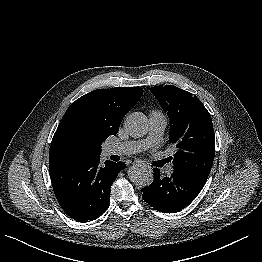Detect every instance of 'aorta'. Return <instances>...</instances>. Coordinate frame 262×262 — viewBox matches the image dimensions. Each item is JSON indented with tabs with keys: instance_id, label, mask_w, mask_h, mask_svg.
I'll return each mask as SVG.
<instances>
[{
	"instance_id": "aorta-1",
	"label": "aorta",
	"mask_w": 262,
	"mask_h": 262,
	"mask_svg": "<svg viewBox=\"0 0 262 262\" xmlns=\"http://www.w3.org/2000/svg\"><path fill=\"white\" fill-rule=\"evenodd\" d=\"M123 125L126 133L135 138L144 136L148 130L147 117L141 112L129 114ZM128 176L131 182L142 187L150 185L154 180L153 173L143 166H132Z\"/></svg>"
}]
</instances>
